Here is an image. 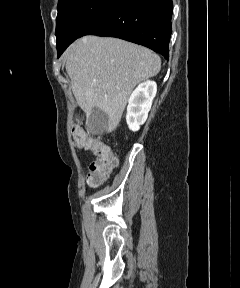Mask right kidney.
Segmentation results:
<instances>
[{
    "mask_svg": "<svg viewBox=\"0 0 240 288\" xmlns=\"http://www.w3.org/2000/svg\"><path fill=\"white\" fill-rule=\"evenodd\" d=\"M156 92L157 84L150 80L140 83L133 91L128 101L126 114L130 130L138 131L146 121Z\"/></svg>",
    "mask_w": 240,
    "mask_h": 288,
    "instance_id": "ca27d5eb",
    "label": "right kidney"
}]
</instances>
